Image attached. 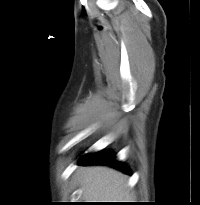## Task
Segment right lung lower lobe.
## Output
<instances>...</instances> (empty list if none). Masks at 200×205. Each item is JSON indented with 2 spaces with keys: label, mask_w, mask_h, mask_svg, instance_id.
<instances>
[{
  "label": "right lung lower lobe",
  "mask_w": 200,
  "mask_h": 205,
  "mask_svg": "<svg viewBox=\"0 0 200 205\" xmlns=\"http://www.w3.org/2000/svg\"><path fill=\"white\" fill-rule=\"evenodd\" d=\"M80 165H88V164H103L113 166L121 171L126 173L129 172L128 168L120 164L119 162L114 160V156L110 152H98L88 156H85L79 161Z\"/></svg>",
  "instance_id": "right-lung-lower-lobe-1"
}]
</instances>
